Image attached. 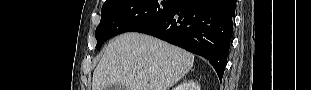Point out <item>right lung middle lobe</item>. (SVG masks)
<instances>
[{
	"label": "right lung middle lobe",
	"instance_id": "1",
	"mask_svg": "<svg viewBox=\"0 0 311 90\" xmlns=\"http://www.w3.org/2000/svg\"><path fill=\"white\" fill-rule=\"evenodd\" d=\"M180 0H108L96 28V48L118 34L147 27L170 13Z\"/></svg>",
	"mask_w": 311,
	"mask_h": 90
}]
</instances>
